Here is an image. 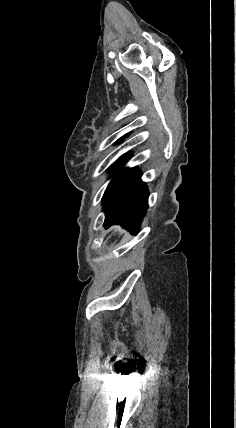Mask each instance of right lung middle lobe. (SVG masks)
<instances>
[{
	"label": "right lung middle lobe",
	"instance_id": "1",
	"mask_svg": "<svg viewBox=\"0 0 236 428\" xmlns=\"http://www.w3.org/2000/svg\"><path fill=\"white\" fill-rule=\"evenodd\" d=\"M132 155L130 153H126L123 156H121L114 165H112V173L111 175L114 176L111 180L110 184L108 185L104 197L126 176V174L130 171L129 168H126L124 170H120L121 167L124 166V164L130 159Z\"/></svg>",
	"mask_w": 236,
	"mask_h": 428
}]
</instances>
